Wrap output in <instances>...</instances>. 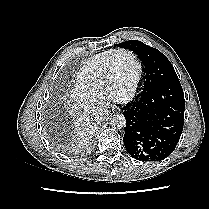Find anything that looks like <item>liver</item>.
Returning <instances> with one entry per match:
<instances>
[{"instance_id": "6515ba94", "label": "liver", "mask_w": 209, "mask_h": 209, "mask_svg": "<svg viewBox=\"0 0 209 209\" xmlns=\"http://www.w3.org/2000/svg\"><path fill=\"white\" fill-rule=\"evenodd\" d=\"M71 114L75 116L74 123H75L77 135L79 137L87 136L93 128L92 123L90 122L88 117L83 116L81 112L77 111V107L72 109Z\"/></svg>"}]
</instances>
